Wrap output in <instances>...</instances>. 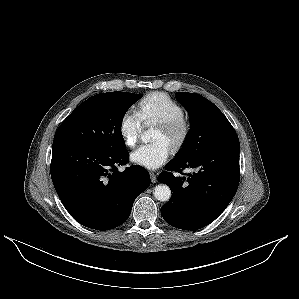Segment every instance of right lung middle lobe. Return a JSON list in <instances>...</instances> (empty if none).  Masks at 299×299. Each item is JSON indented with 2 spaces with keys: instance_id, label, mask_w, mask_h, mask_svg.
<instances>
[{
  "instance_id": "dd1d6c3e",
  "label": "right lung middle lobe",
  "mask_w": 299,
  "mask_h": 299,
  "mask_svg": "<svg viewBox=\"0 0 299 299\" xmlns=\"http://www.w3.org/2000/svg\"><path fill=\"white\" fill-rule=\"evenodd\" d=\"M142 96L117 91L88 98L63 121L53 142L70 141L109 152L125 149L122 120Z\"/></svg>"
}]
</instances>
